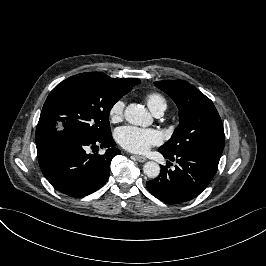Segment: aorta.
Wrapping results in <instances>:
<instances>
[{
    "mask_svg": "<svg viewBox=\"0 0 266 266\" xmlns=\"http://www.w3.org/2000/svg\"><path fill=\"white\" fill-rule=\"evenodd\" d=\"M124 116L127 122L138 126H149L153 119L151 114L142 105L132 103L125 109ZM144 174L154 179L160 174V166L154 161H148L143 166Z\"/></svg>",
    "mask_w": 266,
    "mask_h": 266,
    "instance_id": "obj_1",
    "label": "aorta"
}]
</instances>
